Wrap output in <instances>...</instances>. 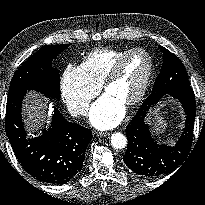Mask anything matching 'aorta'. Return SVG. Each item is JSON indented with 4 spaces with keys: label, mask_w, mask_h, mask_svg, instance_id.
I'll list each match as a JSON object with an SVG mask.
<instances>
[{
    "label": "aorta",
    "mask_w": 205,
    "mask_h": 205,
    "mask_svg": "<svg viewBox=\"0 0 205 205\" xmlns=\"http://www.w3.org/2000/svg\"><path fill=\"white\" fill-rule=\"evenodd\" d=\"M110 141L114 149H124L127 146V138L122 133H113Z\"/></svg>",
    "instance_id": "762f6f07"
}]
</instances>
